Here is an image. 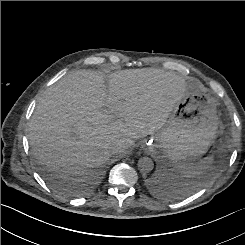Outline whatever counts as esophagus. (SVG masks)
<instances>
[{
  "instance_id": "obj_1",
  "label": "esophagus",
  "mask_w": 245,
  "mask_h": 245,
  "mask_svg": "<svg viewBox=\"0 0 245 245\" xmlns=\"http://www.w3.org/2000/svg\"><path fill=\"white\" fill-rule=\"evenodd\" d=\"M143 148H144L145 150L150 149V144H149V143H144Z\"/></svg>"
}]
</instances>
